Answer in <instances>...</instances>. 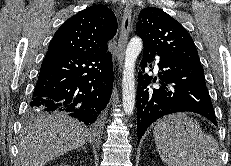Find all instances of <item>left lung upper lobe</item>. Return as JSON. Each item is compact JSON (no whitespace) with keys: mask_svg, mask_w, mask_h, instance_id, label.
I'll use <instances>...</instances> for the list:
<instances>
[{"mask_svg":"<svg viewBox=\"0 0 231 166\" xmlns=\"http://www.w3.org/2000/svg\"><path fill=\"white\" fill-rule=\"evenodd\" d=\"M136 33L144 47L168 59L201 64L196 46L187 30L159 8H144Z\"/></svg>","mask_w":231,"mask_h":166,"instance_id":"1","label":"left lung upper lobe"}]
</instances>
